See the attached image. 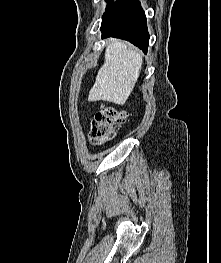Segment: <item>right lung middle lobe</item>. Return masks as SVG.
Returning a JSON list of instances; mask_svg holds the SVG:
<instances>
[{
    "instance_id": "1",
    "label": "right lung middle lobe",
    "mask_w": 221,
    "mask_h": 263,
    "mask_svg": "<svg viewBox=\"0 0 221 263\" xmlns=\"http://www.w3.org/2000/svg\"><path fill=\"white\" fill-rule=\"evenodd\" d=\"M112 3V0H108V5L107 7Z\"/></svg>"
}]
</instances>
